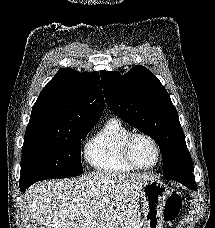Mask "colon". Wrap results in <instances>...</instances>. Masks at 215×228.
I'll list each match as a JSON object with an SVG mask.
<instances>
[{
  "instance_id": "obj_1",
  "label": "colon",
  "mask_w": 215,
  "mask_h": 228,
  "mask_svg": "<svg viewBox=\"0 0 215 228\" xmlns=\"http://www.w3.org/2000/svg\"><path fill=\"white\" fill-rule=\"evenodd\" d=\"M182 206V199L177 193H172L164 204L163 216L167 221H173L178 216Z\"/></svg>"
}]
</instances>
